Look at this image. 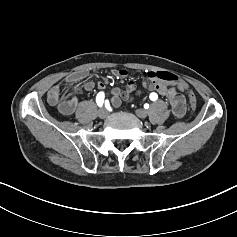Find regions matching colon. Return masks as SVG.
<instances>
[{"label":"colon","instance_id":"obj_1","mask_svg":"<svg viewBox=\"0 0 237 237\" xmlns=\"http://www.w3.org/2000/svg\"><path fill=\"white\" fill-rule=\"evenodd\" d=\"M153 78L157 79V80H161V81H166V82H172V83H179L181 84L183 80H181L178 76L169 73V72H155L151 75ZM185 90L189 96V100H190V106L192 108V110H195L197 107V101H196V97L195 94L192 92L191 89H189V87L187 86V84L185 85ZM136 89L132 86L129 85L127 88V93H136Z\"/></svg>","mask_w":237,"mask_h":237}]
</instances>
